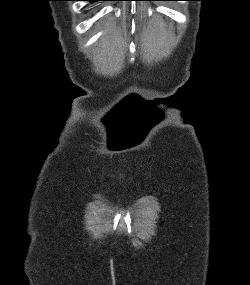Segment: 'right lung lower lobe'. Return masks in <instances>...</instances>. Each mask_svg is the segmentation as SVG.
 <instances>
[{"label": "right lung lower lobe", "mask_w": 250, "mask_h": 285, "mask_svg": "<svg viewBox=\"0 0 250 285\" xmlns=\"http://www.w3.org/2000/svg\"><path fill=\"white\" fill-rule=\"evenodd\" d=\"M86 1H90V2H92V1H103V0H86Z\"/></svg>", "instance_id": "98d812e1"}]
</instances>
